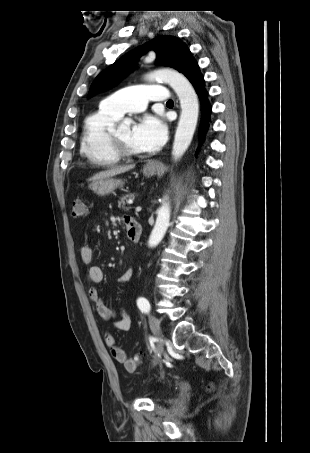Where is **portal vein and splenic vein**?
Returning a JSON list of instances; mask_svg holds the SVG:
<instances>
[{"mask_svg":"<svg viewBox=\"0 0 310 453\" xmlns=\"http://www.w3.org/2000/svg\"><path fill=\"white\" fill-rule=\"evenodd\" d=\"M128 203H129V204H132L133 201H132V200H129ZM136 211H137V212L141 211V207H140V206L136 207Z\"/></svg>","mask_w":310,"mask_h":453,"instance_id":"1","label":"portal vein and splenic vein"}]
</instances>
